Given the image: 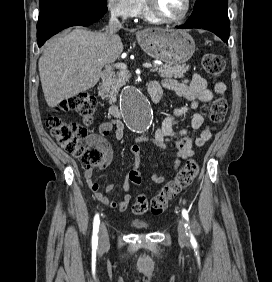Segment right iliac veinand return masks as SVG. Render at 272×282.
<instances>
[{
    "mask_svg": "<svg viewBox=\"0 0 272 282\" xmlns=\"http://www.w3.org/2000/svg\"><path fill=\"white\" fill-rule=\"evenodd\" d=\"M99 243L101 247H105L108 244V232L104 223L101 224L99 229Z\"/></svg>",
    "mask_w": 272,
    "mask_h": 282,
    "instance_id": "right-iliac-vein-1",
    "label": "right iliac vein"
}]
</instances>
